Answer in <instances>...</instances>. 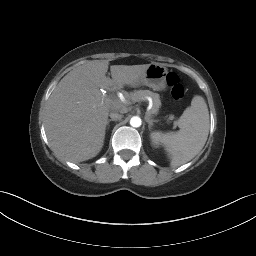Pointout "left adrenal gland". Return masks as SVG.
Wrapping results in <instances>:
<instances>
[{"mask_svg":"<svg viewBox=\"0 0 256 256\" xmlns=\"http://www.w3.org/2000/svg\"><path fill=\"white\" fill-rule=\"evenodd\" d=\"M145 121L148 123L149 130H151L154 123L158 122L157 120L151 119L148 115L145 116Z\"/></svg>","mask_w":256,"mask_h":256,"instance_id":"left-adrenal-gland-1","label":"left adrenal gland"}]
</instances>
